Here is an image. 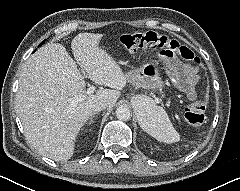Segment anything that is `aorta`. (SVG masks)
I'll return each mask as SVG.
<instances>
[{"mask_svg":"<svg viewBox=\"0 0 240 191\" xmlns=\"http://www.w3.org/2000/svg\"><path fill=\"white\" fill-rule=\"evenodd\" d=\"M139 99L142 101L145 109L152 104L148 98L140 97ZM116 117L121 121H128L131 118V111L129 107L125 105L119 106L116 109Z\"/></svg>","mask_w":240,"mask_h":191,"instance_id":"obj_1","label":"aorta"}]
</instances>
